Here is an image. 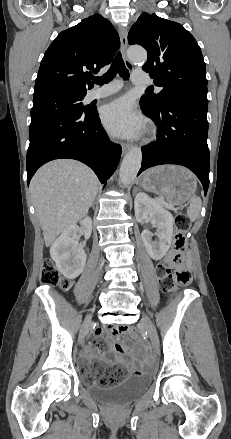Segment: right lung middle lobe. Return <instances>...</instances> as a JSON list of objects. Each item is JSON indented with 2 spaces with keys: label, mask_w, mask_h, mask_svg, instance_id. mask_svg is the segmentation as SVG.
<instances>
[{
  "label": "right lung middle lobe",
  "mask_w": 231,
  "mask_h": 439,
  "mask_svg": "<svg viewBox=\"0 0 231 439\" xmlns=\"http://www.w3.org/2000/svg\"><path fill=\"white\" fill-rule=\"evenodd\" d=\"M86 94L50 93L33 99L31 123L64 113L85 111L89 106L81 102Z\"/></svg>",
  "instance_id": "right-lung-middle-lobe-1"
}]
</instances>
